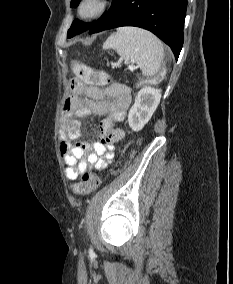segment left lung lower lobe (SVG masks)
Here are the masks:
<instances>
[{
  "mask_svg": "<svg viewBox=\"0 0 233 284\" xmlns=\"http://www.w3.org/2000/svg\"><path fill=\"white\" fill-rule=\"evenodd\" d=\"M186 9L187 0H113L89 34L121 26L144 28L169 45L177 60L183 45Z\"/></svg>",
  "mask_w": 233,
  "mask_h": 284,
  "instance_id": "left-lung-lower-lobe-1",
  "label": "left lung lower lobe"
}]
</instances>
